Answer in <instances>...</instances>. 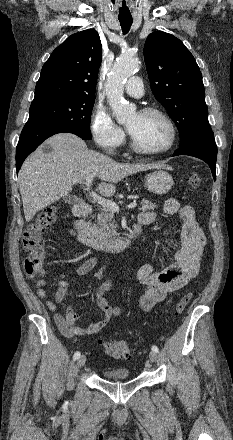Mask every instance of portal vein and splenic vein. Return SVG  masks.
<instances>
[{
  "mask_svg": "<svg viewBox=\"0 0 233 440\" xmlns=\"http://www.w3.org/2000/svg\"><path fill=\"white\" fill-rule=\"evenodd\" d=\"M93 176H89L87 177L86 181H85V190L89 191L90 196L92 197V199L97 202L99 205H101L104 208H108L111 209L114 212H118L119 211V206L117 205V203H115L114 201L111 200H107L102 198L101 196H99L97 193L90 191V186L93 182ZM137 206V204L135 202L129 204L127 206L128 209H132L135 208Z\"/></svg>",
  "mask_w": 233,
  "mask_h": 440,
  "instance_id": "obj_1",
  "label": "portal vein and splenic vein"
}]
</instances>
